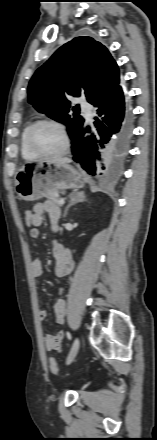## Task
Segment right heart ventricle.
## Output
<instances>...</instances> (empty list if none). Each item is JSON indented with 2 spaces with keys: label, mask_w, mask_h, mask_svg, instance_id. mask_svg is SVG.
Here are the masks:
<instances>
[{
  "label": "right heart ventricle",
  "mask_w": 157,
  "mask_h": 440,
  "mask_svg": "<svg viewBox=\"0 0 157 440\" xmlns=\"http://www.w3.org/2000/svg\"><path fill=\"white\" fill-rule=\"evenodd\" d=\"M33 122H29L23 129L21 138H20V148L22 156L27 160H32L37 158L39 155L34 153L28 146L27 136L29 129L31 128Z\"/></svg>",
  "instance_id": "e07e8e85"
}]
</instances>
